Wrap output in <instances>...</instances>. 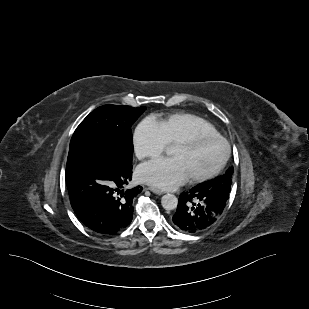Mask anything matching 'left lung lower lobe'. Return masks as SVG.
Listing matches in <instances>:
<instances>
[{
    "mask_svg": "<svg viewBox=\"0 0 309 309\" xmlns=\"http://www.w3.org/2000/svg\"><path fill=\"white\" fill-rule=\"evenodd\" d=\"M229 193L197 185L179 196L177 211L172 220L185 233H200L211 227L222 215Z\"/></svg>",
    "mask_w": 309,
    "mask_h": 309,
    "instance_id": "0a47b994",
    "label": "left lung lower lobe"
}]
</instances>
